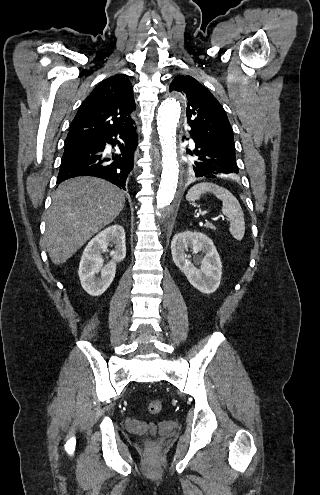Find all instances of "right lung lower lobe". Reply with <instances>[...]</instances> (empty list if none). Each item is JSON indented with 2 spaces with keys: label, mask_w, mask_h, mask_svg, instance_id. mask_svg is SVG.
<instances>
[{
  "label": "right lung lower lobe",
  "mask_w": 320,
  "mask_h": 495,
  "mask_svg": "<svg viewBox=\"0 0 320 495\" xmlns=\"http://www.w3.org/2000/svg\"><path fill=\"white\" fill-rule=\"evenodd\" d=\"M117 137L123 140L122 144ZM137 140L135 128L131 125L102 135L66 142L57 183L76 176H96L126 189V179L133 170ZM107 143L120 145L121 154L112 155L113 162H110L112 159L104 151Z\"/></svg>",
  "instance_id": "1"
}]
</instances>
